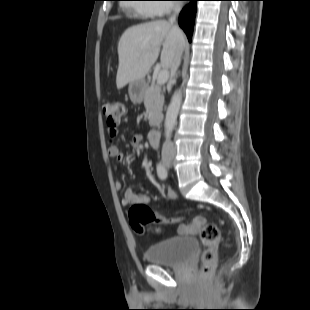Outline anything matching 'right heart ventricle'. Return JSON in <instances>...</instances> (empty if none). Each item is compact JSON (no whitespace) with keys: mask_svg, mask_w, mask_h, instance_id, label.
I'll list each match as a JSON object with an SVG mask.
<instances>
[{"mask_svg":"<svg viewBox=\"0 0 310 310\" xmlns=\"http://www.w3.org/2000/svg\"><path fill=\"white\" fill-rule=\"evenodd\" d=\"M153 4L138 5L136 7L137 12L144 18H153L157 14L156 10L152 7Z\"/></svg>","mask_w":310,"mask_h":310,"instance_id":"1","label":"right heart ventricle"}]
</instances>
